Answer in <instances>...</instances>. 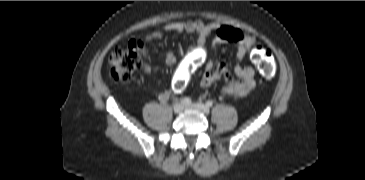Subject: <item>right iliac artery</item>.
Segmentation results:
<instances>
[{"label": "right iliac artery", "instance_id": "82829eb1", "mask_svg": "<svg viewBox=\"0 0 365 180\" xmlns=\"http://www.w3.org/2000/svg\"><path fill=\"white\" fill-rule=\"evenodd\" d=\"M181 103L184 105H190L192 103V101L190 98L185 97V98L181 99Z\"/></svg>", "mask_w": 365, "mask_h": 180}]
</instances>
